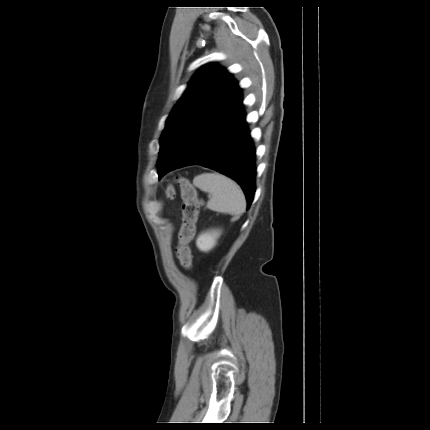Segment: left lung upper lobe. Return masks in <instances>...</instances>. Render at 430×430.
<instances>
[{
	"label": "left lung upper lobe",
	"instance_id": "obj_1",
	"mask_svg": "<svg viewBox=\"0 0 430 430\" xmlns=\"http://www.w3.org/2000/svg\"><path fill=\"white\" fill-rule=\"evenodd\" d=\"M242 101V90L226 69L211 64L197 71L166 121L157 167L183 145L200 119L211 114L228 119L240 116Z\"/></svg>",
	"mask_w": 430,
	"mask_h": 430
}]
</instances>
